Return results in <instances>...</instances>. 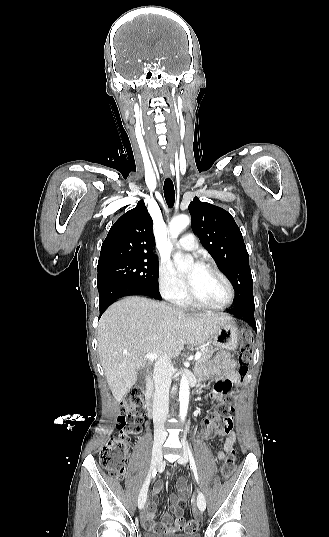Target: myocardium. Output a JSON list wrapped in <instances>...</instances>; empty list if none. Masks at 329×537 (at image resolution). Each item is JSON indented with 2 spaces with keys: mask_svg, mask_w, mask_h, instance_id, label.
<instances>
[{
  "mask_svg": "<svg viewBox=\"0 0 329 537\" xmlns=\"http://www.w3.org/2000/svg\"><path fill=\"white\" fill-rule=\"evenodd\" d=\"M201 267L205 268V269H207L209 271L214 272L215 274H217L224 281V283L227 286L229 296H228L227 301L225 303H223V304H219V305L210 304V303L204 302L201 299H199L193 293L192 289L190 288L189 289V298H190V300L195 305H197L199 307L207 308V309H217L218 310V309H226V308L230 307L233 304L234 300H235V290H234V287H233L230 279L219 268H217L216 266H214L212 264L203 263L201 265Z\"/></svg>",
  "mask_w": 329,
  "mask_h": 537,
  "instance_id": "myocardium-1",
  "label": "myocardium"
}]
</instances>
